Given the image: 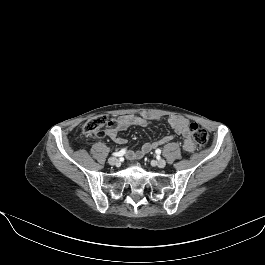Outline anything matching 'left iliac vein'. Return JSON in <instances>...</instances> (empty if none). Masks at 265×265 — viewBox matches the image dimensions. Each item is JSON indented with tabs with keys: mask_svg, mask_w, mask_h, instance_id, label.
Instances as JSON below:
<instances>
[{
	"mask_svg": "<svg viewBox=\"0 0 265 265\" xmlns=\"http://www.w3.org/2000/svg\"><path fill=\"white\" fill-rule=\"evenodd\" d=\"M156 165H157L159 168H163V167L166 166V161L163 160V159H158V160L156 161Z\"/></svg>",
	"mask_w": 265,
	"mask_h": 265,
	"instance_id": "obj_1",
	"label": "left iliac vein"
}]
</instances>
